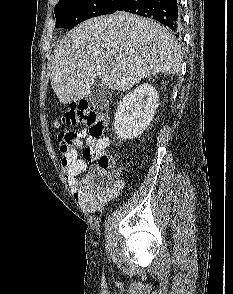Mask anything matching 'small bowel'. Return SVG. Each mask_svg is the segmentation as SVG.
Segmentation results:
<instances>
[{
    "mask_svg": "<svg viewBox=\"0 0 233 294\" xmlns=\"http://www.w3.org/2000/svg\"><path fill=\"white\" fill-rule=\"evenodd\" d=\"M73 135L72 147L67 156L62 158L61 163L67 181L71 185H76L77 177L86 171L87 163L93 161L97 155L102 153L109 146L110 142L106 137L93 138L88 135L86 130L73 132ZM80 152L83 158H80ZM122 188V180H114L107 189L96 191H85L81 183L77 198L88 211L96 212L113 200Z\"/></svg>",
    "mask_w": 233,
    "mask_h": 294,
    "instance_id": "1",
    "label": "small bowel"
}]
</instances>
